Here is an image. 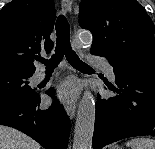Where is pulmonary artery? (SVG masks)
Returning a JSON list of instances; mask_svg holds the SVG:
<instances>
[{"label":"pulmonary artery","mask_w":155,"mask_h":149,"mask_svg":"<svg viewBox=\"0 0 155 149\" xmlns=\"http://www.w3.org/2000/svg\"><path fill=\"white\" fill-rule=\"evenodd\" d=\"M87 60L90 64L92 65H96V66H100L103 71L112 79L114 80L115 79V75H114V72H113V69L111 67V65L109 64V62L104 59V58H100L98 56H95V55H88L87 56ZM45 79V73L42 72V71H38L35 73L34 75V81L35 82H41Z\"/></svg>","instance_id":"pulmonary-artery-1"}]
</instances>
